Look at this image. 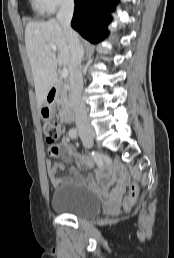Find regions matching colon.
<instances>
[{
	"mask_svg": "<svg viewBox=\"0 0 174 258\" xmlns=\"http://www.w3.org/2000/svg\"><path fill=\"white\" fill-rule=\"evenodd\" d=\"M43 133L45 136L46 143L51 146L50 154L53 157H57V144L64 133V125L59 121H46L43 124ZM138 195V185L132 183L130 186L129 194L127 198L122 203V208L124 210H129L134 204Z\"/></svg>",
	"mask_w": 174,
	"mask_h": 258,
	"instance_id": "colon-1",
	"label": "colon"
}]
</instances>
